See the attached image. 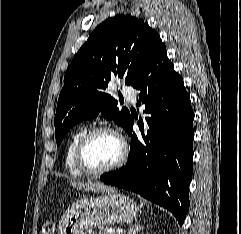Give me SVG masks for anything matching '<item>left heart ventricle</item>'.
Instances as JSON below:
<instances>
[{"label": "left heart ventricle", "mask_w": 241, "mask_h": 234, "mask_svg": "<svg viewBox=\"0 0 241 234\" xmlns=\"http://www.w3.org/2000/svg\"><path fill=\"white\" fill-rule=\"evenodd\" d=\"M122 150L119 139L110 133H99L87 144L85 161L91 168H103L116 162Z\"/></svg>", "instance_id": "obj_1"}]
</instances>
